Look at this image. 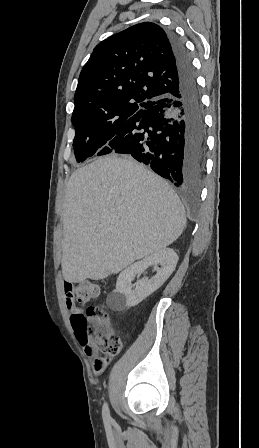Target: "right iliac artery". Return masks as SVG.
<instances>
[{
    "instance_id": "1",
    "label": "right iliac artery",
    "mask_w": 259,
    "mask_h": 448,
    "mask_svg": "<svg viewBox=\"0 0 259 448\" xmlns=\"http://www.w3.org/2000/svg\"><path fill=\"white\" fill-rule=\"evenodd\" d=\"M102 417H103V420H104L105 424H109L110 422H112V418L110 416L109 408H108L107 403H104V405H103Z\"/></svg>"
}]
</instances>
